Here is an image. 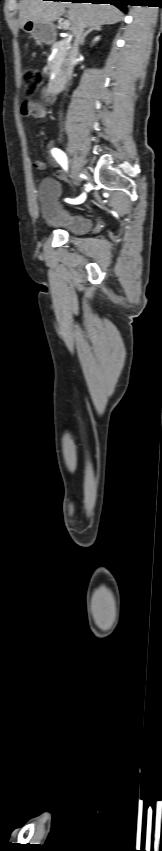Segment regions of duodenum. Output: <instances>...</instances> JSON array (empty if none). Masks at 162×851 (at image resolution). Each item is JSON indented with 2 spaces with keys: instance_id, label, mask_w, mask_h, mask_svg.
I'll return each mask as SVG.
<instances>
[{
  "instance_id": "410a0bca",
  "label": "duodenum",
  "mask_w": 162,
  "mask_h": 851,
  "mask_svg": "<svg viewBox=\"0 0 162 851\" xmlns=\"http://www.w3.org/2000/svg\"><path fill=\"white\" fill-rule=\"evenodd\" d=\"M67 80H68L67 76H64L63 79L57 77V78L49 80L47 86L50 87L51 90H52L51 95H56L57 93H59V91L62 88V84H65Z\"/></svg>"
}]
</instances>
